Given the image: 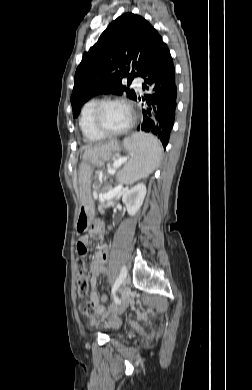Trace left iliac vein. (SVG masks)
<instances>
[{
  "label": "left iliac vein",
  "mask_w": 252,
  "mask_h": 390,
  "mask_svg": "<svg viewBox=\"0 0 252 390\" xmlns=\"http://www.w3.org/2000/svg\"><path fill=\"white\" fill-rule=\"evenodd\" d=\"M129 302H130V288L128 287L127 281H126L122 287V290H121V304L118 308H113L111 311L115 315L121 314L128 307Z\"/></svg>",
  "instance_id": "4c4485c4"
}]
</instances>
